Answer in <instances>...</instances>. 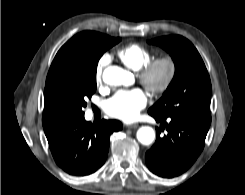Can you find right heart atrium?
<instances>
[{
    "label": "right heart atrium",
    "instance_id": "d8ad5b80",
    "mask_svg": "<svg viewBox=\"0 0 245 195\" xmlns=\"http://www.w3.org/2000/svg\"><path fill=\"white\" fill-rule=\"evenodd\" d=\"M108 63H109V57L107 55H103L99 58L96 64L94 78L97 86H100L102 84L103 70Z\"/></svg>",
    "mask_w": 245,
    "mask_h": 195
}]
</instances>
